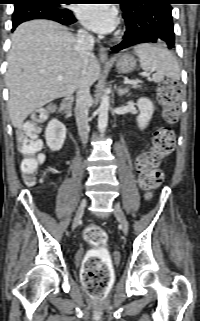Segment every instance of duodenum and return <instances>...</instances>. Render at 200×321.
<instances>
[{
	"mask_svg": "<svg viewBox=\"0 0 200 321\" xmlns=\"http://www.w3.org/2000/svg\"><path fill=\"white\" fill-rule=\"evenodd\" d=\"M71 106V98H65L61 105H60V110L63 114H68Z\"/></svg>",
	"mask_w": 200,
	"mask_h": 321,
	"instance_id": "1",
	"label": "duodenum"
}]
</instances>
